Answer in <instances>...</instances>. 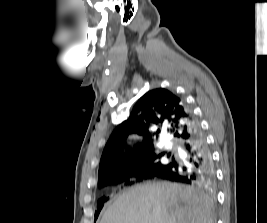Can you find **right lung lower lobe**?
<instances>
[{
  "mask_svg": "<svg viewBox=\"0 0 267 223\" xmlns=\"http://www.w3.org/2000/svg\"><path fill=\"white\" fill-rule=\"evenodd\" d=\"M186 158L178 160L162 169L156 177L190 185L212 187L215 181L212 155L197 124L196 134L184 142ZM126 178H118L112 183H120ZM107 186V185H106Z\"/></svg>",
  "mask_w": 267,
  "mask_h": 223,
  "instance_id": "obj_1",
  "label": "right lung lower lobe"
}]
</instances>
